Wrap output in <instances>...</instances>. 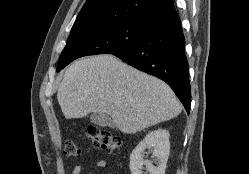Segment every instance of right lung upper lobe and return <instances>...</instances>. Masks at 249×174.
Masks as SVG:
<instances>
[{
  "mask_svg": "<svg viewBox=\"0 0 249 174\" xmlns=\"http://www.w3.org/2000/svg\"><path fill=\"white\" fill-rule=\"evenodd\" d=\"M177 14L173 0H87L71 32L120 21H142Z\"/></svg>",
  "mask_w": 249,
  "mask_h": 174,
  "instance_id": "right-lung-upper-lobe-1",
  "label": "right lung upper lobe"
}]
</instances>
